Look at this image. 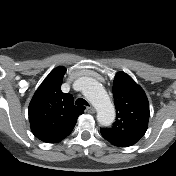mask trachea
I'll use <instances>...</instances> for the list:
<instances>
[{
	"label": "trachea",
	"instance_id": "trachea-1",
	"mask_svg": "<svg viewBox=\"0 0 176 176\" xmlns=\"http://www.w3.org/2000/svg\"><path fill=\"white\" fill-rule=\"evenodd\" d=\"M76 105H86L89 106L88 102L83 98H78L75 102Z\"/></svg>",
	"mask_w": 176,
	"mask_h": 176
}]
</instances>
